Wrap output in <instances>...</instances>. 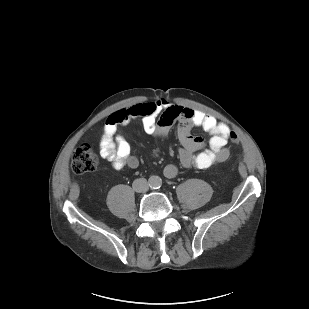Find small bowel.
I'll use <instances>...</instances> for the list:
<instances>
[{"mask_svg": "<svg viewBox=\"0 0 309 309\" xmlns=\"http://www.w3.org/2000/svg\"><path fill=\"white\" fill-rule=\"evenodd\" d=\"M133 120H140L143 129L157 138L165 137L171 125L178 123L179 159L183 168L206 169L224 162L229 157L226 145L231 130L227 124L217 121L215 117L203 111L160 99L135 103L115 111L108 117L99 142V150L101 157L111 162L117 170L124 167L135 169L139 166L138 159L131 154L129 142L117 132L118 126H126ZM192 127L202 128L209 133L207 148L200 150L203 142L191 134ZM177 173L178 168L174 165L164 168L167 178H174Z\"/></svg>", "mask_w": 309, "mask_h": 309, "instance_id": "small-bowel-1", "label": "small bowel"}]
</instances>
